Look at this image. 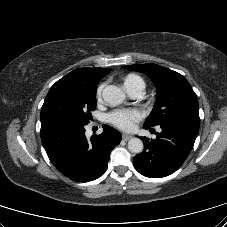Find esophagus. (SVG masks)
<instances>
[{
  "label": "esophagus",
  "mask_w": 227,
  "mask_h": 227,
  "mask_svg": "<svg viewBox=\"0 0 227 227\" xmlns=\"http://www.w3.org/2000/svg\"><path fill=\"white\" fill-rule=\"evenodd\" d=\"M132 138V135H129V134H123L122 135V139L124 140V141H128V140H130Z\"/></svg>",
  "instance_id": "obj_1"
}]
</instances>
